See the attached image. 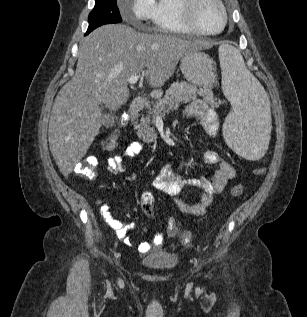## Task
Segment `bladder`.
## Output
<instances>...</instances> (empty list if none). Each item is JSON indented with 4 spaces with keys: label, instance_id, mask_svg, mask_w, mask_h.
<instances>
[{
    "label": "bladder",
    "instance_id": "obj_1",
    "mask_svg": "<svg viewBox=\"0 0 307 317\" xmlns=\"http://www.w3.org/2000/svg\"><path fill=\"white\" fill-rule=\"evenodd\" d=\"M144 266L153 271H168L173 269L177 264V257L174 255L167 256H145L141 259Z\"/></svg>",
    "mask_w": 307,
    "mask_h": 317
}]
</instances>
